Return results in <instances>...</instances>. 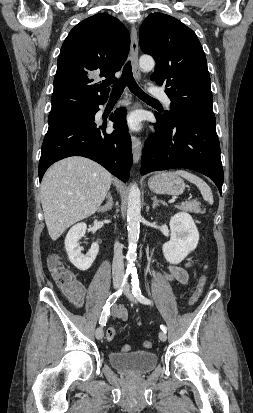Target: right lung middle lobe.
<instances>
[{"mask_svg":"<svg viewBox=\"0 0 253 413\" xmlns=\"http://www.w3.org/2000/svg\"><path fill=\"white\" fill-rule=\"evenodd\" d=\"M92 115V112L90 109H85V110H80L68 114H63L59 116H53L48 118V124L49 128H53L56 126L80 121V120H86Z\"/></svg>","mask_w":253,"mask_h":413,"instance_id":"right-lung-middle-lobe-1","label":"right lung middle lobe"}]
</instances>
